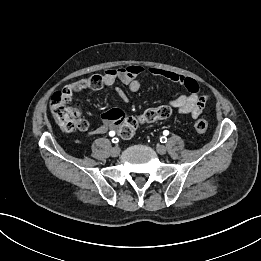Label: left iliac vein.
Here are the masks:
<instances>
[{
  "label": "left iliac vein",
  "mask_w": 261,
  "mask_h": 261,
  "mask_svg": "<svg viewBox=\"0 0 261 261\" xmlns=\"http://www.w3.org/2000/svg\"><path fill=\"white\" fill-rule=\"evenodd\" d=\"M156 150H157V152H158L160 155H164V154H166V152H167L166 147H165L164 145H161V144H159V145L156 146Z\"/></svg>",
  "instance_id": "4c4485c4"
}]
</instances>
